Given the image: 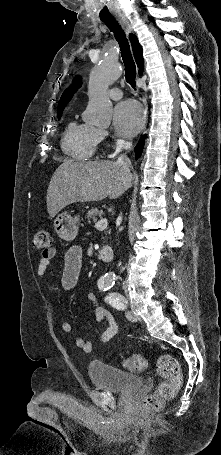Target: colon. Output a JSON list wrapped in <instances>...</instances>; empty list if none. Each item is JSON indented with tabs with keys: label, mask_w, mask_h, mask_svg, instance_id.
I'll use <instances>...</instances> for the list:
<instances>
[{
	"label": "colon",
	"mask_w": 221,
	"mask_h": 455,
	"mask_svg": "<svg viewBox=\"0 0 221 455\" xmlns=\"http://www.w3.org/2000/svg\"><path fill=\"white\" fill-rule=\"evenodd\" d=\"M52 236L46 227H38L33 237V245L37 249L47 250L51 247ZM124 366L131 372H142L147 368V360L139 354H132L124 360ZM157 373L163 378L155 392L143 402V408L148 411H157L165 402L171 400L182 384V377L178 360L172 355H161L157 359Z\"/></svg>",
	"instance_id": "obj_1"
}]
</instances>
